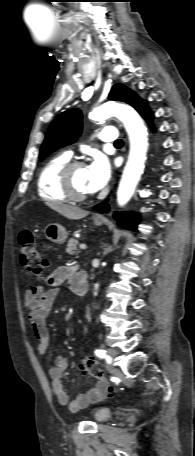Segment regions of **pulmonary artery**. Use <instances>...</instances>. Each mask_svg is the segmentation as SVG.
<instances>
[{
  "mask_svg": "<svg viewBox=\"0 0 195 456\" xmlns=\"http://www.w3.org/2000/svg\"><path fill=\"white\" fill-rule=\"evenodd\" d=\"M118 133L114 127H106L98 133V139L102 142H115L117 140ZM66 154L69 156L72 155L71 151H68Z\"/></svg>",
  "mask_w": 195,
  "mask_h": 456,
  "instance_id": "e3ab8cb5",
  "label": "pulmonary artery"
}]
</instances>
